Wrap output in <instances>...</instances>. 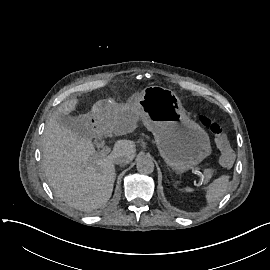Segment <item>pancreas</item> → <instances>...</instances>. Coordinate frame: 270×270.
Wrapping results in <instances>:
<instances>
[{
  "mask_svg": "<svg viewBox=\"0 0 270 270\" xmlns=\"http://www.w3.org/2000/svg\"><path fill=\"white\" fill-rule=\"evenodd\" d=\"M212 173H213V171L211 169L205 171V179L204 180L206 182L211 178Z\"/></svg>",
  "mask_w": 270,
  "mask_h": 270,
  "instance_id": "cf45deb5",
  "label": "pancreas"
}]
</instances>
